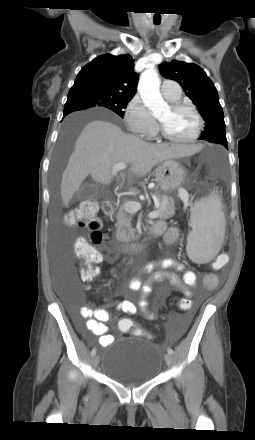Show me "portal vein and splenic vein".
<instances>
[{"label":"portal vein and splenic vein","mask_w":255,"mask_h":440,"mask_svg":"<svg viewBox=\"0 0 255 440\" xmlns=\"http://www.w3.org/2000/svg\"><path fill=\"white\" fill-rule=\"evenodd\" d=\"M126 163H117L112 167V174L116 175L118 171L126 169ZM125 210L129 213H136L141 209V204L135 201H127L124 204ZM159 216V211L155 210L149 213L148 217L151 219L157 218Z\"/></svg>","instance_id":"1"}]
</instances>
